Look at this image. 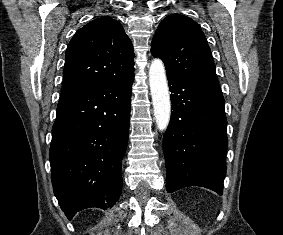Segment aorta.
I'll use <instances>...</instances> for the list:
<instances>
[{
	"instance_id": "aorta-1",
	"label": "aorta",
	"mask_w": 283,
	"mask_h": 235,
	"mask_svg": "<svg viewBox=\"0 0 283 235\" xmlns=\"http://www.w3.org/2000/svg\"><path fill=\"white\" fill-rule=\"evenodd\" d=\"M149 85L156 124L160 131H164L170 121L171 103L164 64L158 58L150 65Z\"/></svg>"
}]
</instances>
